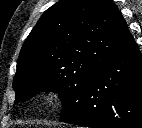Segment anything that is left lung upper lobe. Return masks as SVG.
I'll list each match as a JSON object with an SVG mask.
<instances>
[{
    "label": "left lung upper lobe",
    "instance_id": "5c2ea615",
    "mask_svg": "<svg viewBox=\"0 0 142 128\" xmlns=\"http://www.w3.org/2000/svg\"><path fill=\"white\" fill-rule=\"evenodd\" d=\"M133 36L111 0H59L26 38L13 81L16 100L44 89L59 93L68 117L81 93L112 54Z\"/></svg>",
    "mask_w": 142,
    "mask_h": 128
}]
</instances>
